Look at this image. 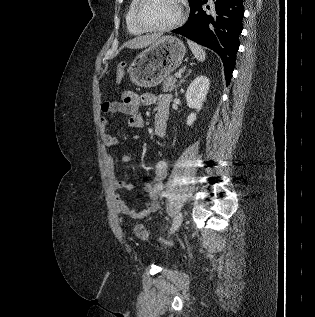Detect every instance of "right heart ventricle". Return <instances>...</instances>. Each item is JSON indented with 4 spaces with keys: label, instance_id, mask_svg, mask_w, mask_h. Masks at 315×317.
<instances>
[{
    "label": "right heart ventricle",
    "instance_id": "1",
    "mask_svg": "<svg viewBox=\"0 0 315 317\" xmlns=\"http://www.w3.org/2000/svg\"><path fill=\"white\" fill-rule=\"evenodd\" d=\"M137 0H131L130 5L128 7V10L126 12L125 21L128 31L133 35H140L143 33L142 30H140L133 21V10L135 7Z\"/></svg>",
    "mask_w": 315,
    "mask_h": 317
}]
</instances>
